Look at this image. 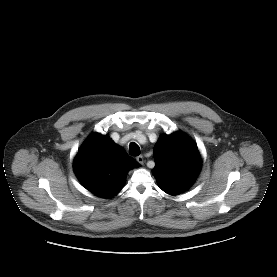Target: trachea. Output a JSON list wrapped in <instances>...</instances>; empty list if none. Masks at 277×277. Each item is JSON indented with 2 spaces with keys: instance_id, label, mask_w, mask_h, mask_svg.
Returning <instances> with one entry per match:
<instances>
[{
  "instance_id": "1",
  "label": "trachea",
  "mask_w": 277,
  "mask_h": 277,
  "mask_svg": "<svg viewBox=\"0 0 277 277\" xmlns=\"http://www.w3.org/2000/svg\"><path fill=\"white\" fill-rule=\"evenodd\" d=\"M129 154L132 156H138L140 154V148L139 146L132 142L129 146Z\"/></svg>"
}]
</instances>
